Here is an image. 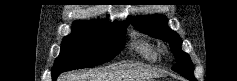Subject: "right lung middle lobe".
Wrapping results in <instances>:
<instances>
[{
	"instance_id": "obj_1",
	"label": "right lung middle lobe",
	"mask_w": 237,
	"mask_h": 81,
	"mask_svg": "<svg viewBox=\"0 0 237 81\" xmlns=\"http://www.w3.org/2000/svg\"><path fill=\"white\" fill-rule=\"evenodd\" d=\"M127 25L73 23L72 33L63 39L52 75L112 60L124 47Z\"/></svg>"
}]
</instances>
